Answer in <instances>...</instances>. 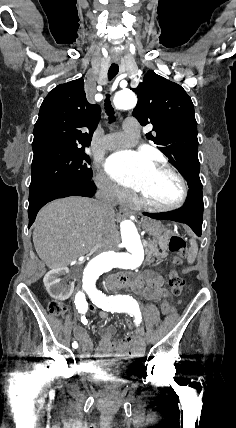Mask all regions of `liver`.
I'll list each match as a JSON object with an SVG mask.
<instances>
[{
  "label": "liver",
  "instance_id": "liver-1",
  "mask_svg": "<svg viewBox=\"0 0 236 428\" xmlns=\"http://www.w3.org/2000/svg\"><path fill=\"white\" fill-rule=\"evenodd\" d=\"M114 212H102L95 200L63 198L40 210L34 224L33 244L48 268H64L80 256L118 244Z\"/></svg>",
  "mask_w": 236,
  "mask_h": 428
}]
</instances>
